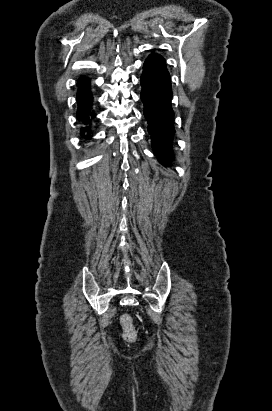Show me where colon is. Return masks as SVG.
Segmentation results:
<instances>
[{
	"label": "colon",
	"instance_id": "5ec220e1",
	"mask_svg": "<svg viewBox=\"0 0 272 411\" xmlns=\"http://www.w3.org/2000/svg\"><path fill=\"white\" fill-rule=\"evenodd\" d=\"M120 323L123 329V339L128 343H134L137 340L138 332L133 324V320L130 315L123 314L120 317Z\"/></svg>",
	"mask_w": 272,
	"mask_h": 411
}]
</instances>
